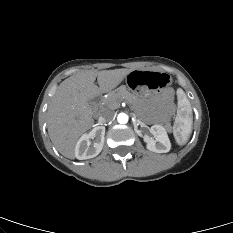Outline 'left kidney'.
Instances as JSON below:
<instances>
[{
  "mask_svg": "<svg viewBox=\"0 0 233 233\" xmlns=\"http://www.w3.org/2000/svg\"><path fill=\"white\" fill-rule=\"evenodd\" d=\"M150 130L151 133L156 136V139L154 140L149 136H144L147 149L156 153L169 152L171 149V143L166 129L161 125H153Z\"/></svg>",
  "mask_w": 233,
  "mask_h": 233,
  "instance_id": "obj_1",
  "label": "left kidney"
}]
</instances>
